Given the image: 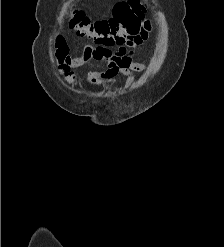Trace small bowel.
<instances>
[{"label": "small bowel", "instance_id": "c3829d8e", "mask_svg": "<svg viewBox=\"0 0 224 247\" xmlns=\"http://www.w3.org/2000/svg\"><path fill=\"white\" fill-rule=\"evenodd\" d=\"M151 28V22L145 21L135 33L113 41H97L95 45L87 44L82 56L73 60L69 56V48L62 35H55L53 42L57 58L62 64L82 65L91 59L107 63V69L89 72L86 77L88 83L96 87H105L115 83L118 77L127 79L132 77V72L147 69L146 65L135 62L133 56L136 51L146 49ZM113 47H116V50H112Z\"/></svg>", "mask_w": 224, "mask_h": 247}]
</instances>
